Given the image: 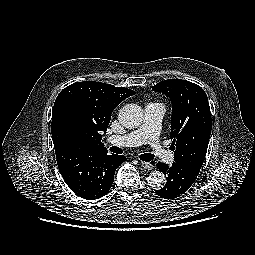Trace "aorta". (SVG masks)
Wrapping results in <instances>:
<instances>
[{
  "instance_id": "aorta-1",
  "label": "aorta",
  "mask_w": 255,
  "mask_h": 255,
  "mask_svg": "<svg viewBox=\"0 0 255 255\" xmlns=\"http://www.w3.org/2000/svg\"><path fill=\"white\" fill-rule=\"evenodd\" d=\"M118 120L126 128H136L143 121V110L137 104H127L120 109ZM147 182L152 189L160 190L166 184V177L161 171L154 170L148 175Z\"/></svg>"
}]
</instances>
